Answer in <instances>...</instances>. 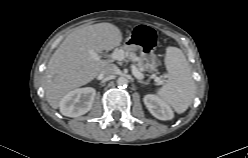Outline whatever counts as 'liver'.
<instances>
[{"mask_svg": "<svg viewBox=\"0 0 248 158\" xmlns=\"http://www.w3.org/2000/svg\"><path fill=\"white\" fill-rule=\"evenodd\" d=\"M121 41V31L111 23L83 26L72 31L51 56L43 77L50 106L57 109L68 92L92 81L109 64L106 60L93 59L90 51L97 54L112 50Z\"/></svg>", "mask_w": 248, "mask_h": 158, "instance_id": "obj_1", "label": "liver"}]
</instances>
